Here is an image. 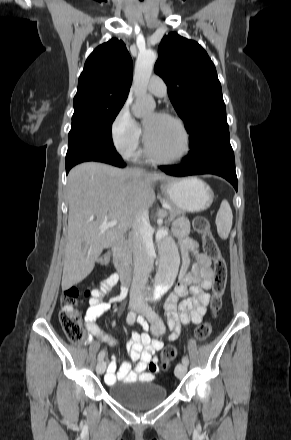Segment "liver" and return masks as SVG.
<instances>
[{"instance_id": "1", "label": "liver", "mask_w": 291, "mask_h": 440, "mask_svg": "<svg viewBox=\"0 0 291 440\" xmlns=\"http://www.w3.org/2000/svg\"><path fill=\"white\" fill-rule=\"evenodd\" d=\"M170 179L162 173L139 168L118 169L97 162L82 163L69 172L63 290L92 272L103 249L121 240L139 213L148 214L155 201L152 184ZM112 220L118 224L108 229L99 228Z\"/></svg>"}]
</instances>
